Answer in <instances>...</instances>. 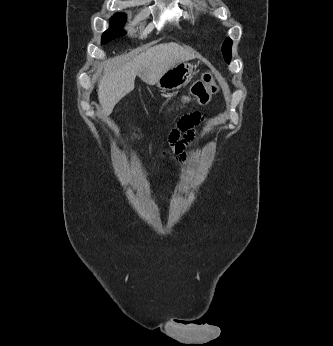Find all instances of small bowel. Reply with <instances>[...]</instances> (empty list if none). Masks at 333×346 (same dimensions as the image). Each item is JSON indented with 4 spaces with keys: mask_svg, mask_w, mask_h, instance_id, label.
Instances as JSON below:
<instances>
[{
    "mask_svg": "<svg viewBox=\"0 0 333 346\" xmlns=\"http://www.w3.org/2000/svg\"><path fill=\"white\" fill-rule=\"evenodd\" d=\"M199 123V117L185 115L179 120L178 126L171 131L169 141L174 151L179 154V162H183L187 159V154L184 150L192 140L194 128L198 126Z\"/></svg>",
    "mask_w": 333,
    "mask_h": 346,
    "instance_id": "small-bowel-1",
    "label": "small bowel"
}]
</instances>
